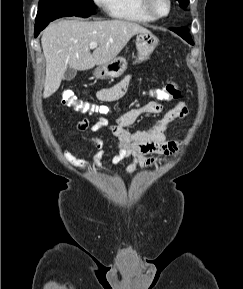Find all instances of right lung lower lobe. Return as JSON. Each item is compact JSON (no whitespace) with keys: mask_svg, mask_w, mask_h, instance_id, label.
Wrapping results in <instances>:
<instances>
[{"mask_svg":"<svg viewBox=\"0 0 243 289\" xmlns=\"http://www.w3.org/2000/svg\"><path fill=\"white\" fill-rule=\"evenodd\" d=\"M66 16H75L72 14H66V13H62V12H56L53 14H37L36 16V24H35V32H34V36L37 37L39 35V33L53 20L60 18V17H66ZM91 15H79L77 17H89Z\"/></svg>","mask_w":243,"mask_h":289,"instance_id":"right-lung-lower-lobe-1","label":"right lung lower lobe"}]
</instances>
